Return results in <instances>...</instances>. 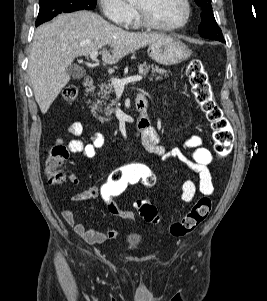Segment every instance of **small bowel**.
I'll list each match as a JSON object with an SVG mask.
<instances>
[{
    "label": "small bowel",
    "mask_w": 267,
    "mask_h": 301,
    "mask_svg": "<svg viewBox=\"0 0 267 301\" xmlns=\"http://www.w3.org/2000/svg\"><path fill=\"white\" fill-rule=\"evenodd\" d=\"M67 132L76 137L68 142V148L72 153L81 154L83 158H93L97 151L101 149L105 143L104 135L100 132H87V140L80 139L85 132L84 125L79 121L72 122L67 127ZM142 146L150 153L161 157L163 160H176L198 176V181L187 179L182 185V200L190 202L196 195L197 191L204 195H211L214 192V184L212 174L208 168L213 162L211 151L203 145V140L200 136L194 135L187 139L182 148L173 147L167 149L162 145V138L159 131L150 126L140 133ZM69 179L72 183L79 182L78 177L74 173H70ZM99 197V188L90 187L87 190L76 194L73 197L74 202H83ZM112 214L123 218L132 219L133 212L125 211L116 207ZM62 217L66 223L71 226L74 231L89 244H101L107 240L114 239L119 235L117 230L95 231L88 229L84 224L77 222L73 213L64 209Z\"/></svg>",
    "instance_id": "small-bowel-1"
}]
</instances>
